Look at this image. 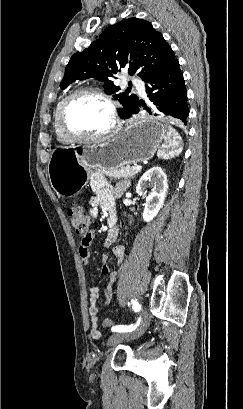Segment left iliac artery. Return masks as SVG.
<instances>
[{
	"label": "left iliac artery",
	"instance_id": "44dca946",
	"mask_svg": "<svg viewBox=\"0 0 243 409\" xmlns=\"http://www.w3.org/2000/svg\"><path fill=\"white\" fill-rule=\"evenodd\" d=\"M133 308H134V310L136 312H139L141 310V305L139 303H137V302H134ZM140 321H141V319L139 318L137 323L134 324V325L132 324V325H129V326H126V325L115 326L114 328H112V331L113 332H131L134 329H136V327L139 325Z\"/></svg>",
	"mask_w": 243,
	"mask_h": 409
}]
</instances>
